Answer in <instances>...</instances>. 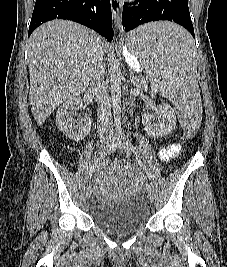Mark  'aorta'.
<instances>
[{"instance_id":"aorta-1","label":"aorta","mask_w":227,"mask_h":267,"mask_svg":"<svg viewBox=\"0 0 227 267\" xmlns=\"http://www.w3.org/2000/svg\"><path fill=\"white\" fill-rule=\"evenodd\" d=\"M112 66L110 72V83H111V102L113 107V114L116 126H118L121 121V80L122 73L118 65V60L113 52L112 54Z\"/></svg>"}]
</instances>
